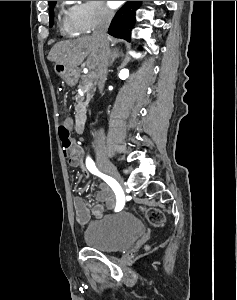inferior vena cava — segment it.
<instances>
[{"label":"inferior vena cava","instance_id":"inferior-vena-cava-1","mask_svg":"<svg viewBox=\"0 0 237 300\" xmlns=\"http://www.w3.org/2000/svg\"><path fill=\"white\" fill-rule=\"evenodd\" d=\"M113 11H110V9H107L105 5H101V13H100V19L98 21V25L93 31L92 37H95V39H98L100 43V53L99 57H101L100 65L98 67V73H99V81H98V89L100 93H102L104 89V83L106 81V75H107V65H108V57L110 55L109 53V41L107 37V31L109 29V25L113 19ZM100 135H102L101 139L104 141V133L103 131H100ZM100 141V139H99Z\"/></svg>","mask_w":237,"mask_h":300}]
</instances>
